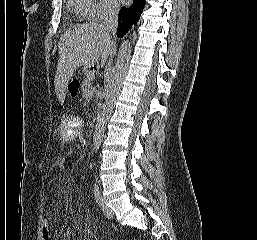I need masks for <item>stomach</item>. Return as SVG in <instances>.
Masks as SVG:
<instances>
[{"mask_svg": "<svg viewBox=\"0 0 257 240\" xmlns=\"http://www.w3.org/2000/svg\"><path fill=\"white\" fill-rule=\"evenodd\" d=\"M85 71H86V72H89L88 68H85Z\"/></svg>", "mask_w": 257, "mask_h": 240, "instance_id": "0dacf381", "label": "stomach"}]
</instances>
